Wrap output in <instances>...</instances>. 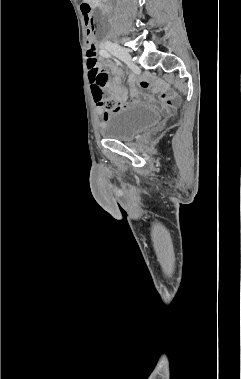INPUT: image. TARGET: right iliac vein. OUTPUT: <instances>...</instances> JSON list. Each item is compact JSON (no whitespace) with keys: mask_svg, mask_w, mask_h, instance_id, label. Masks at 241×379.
<instances>
[{"mask_svg":"<svg viewBox=\"0 0 241 379\" xmlns=\"http://www.w3.org/2000/svg\"><path fill=\"white\" fill-rule=\"evenodd\" d=\"M105 48L109 50L112 54H114L116 57L121 59L122 61L128 63L129 65L134 66L131 55L128 53V51L117 44L108 43L105 45Z\"/></svg>","mask_w":241,"mask_h":379,"instance_id":"obj_1","label":"right iliac vein"}]
</instances>
